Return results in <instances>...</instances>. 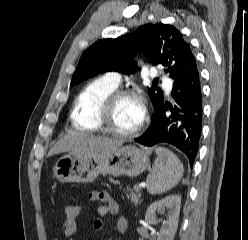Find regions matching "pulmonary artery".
<instances>
[{
	"label": "pulmonary artery",
	"mask_w": 248,
	"mask_h": 240,
	"mask_svg": "<svg viewBox=\"0 0 248 240\" xmlns=\"http://www.w3.org/2000/svg\"><path fill=\"white\" fill-rule=\"evenodd\" d=\"M153 72L155 73V75H158L156 73V70L153 69ZM104 78L107 80V82H109L110 84H112L116 87L119 86V84L121 82V78H120L119 74L116 72H109L105 75ZM170 89H171L170 87H166V91L169 92Z\"/></svg>",
	"instance_id": "e3ab8cb5"
}]
</instances>
